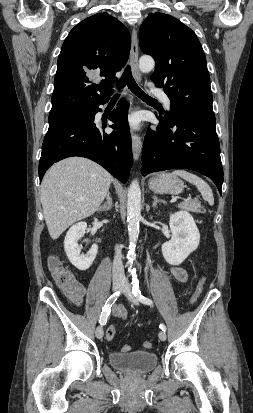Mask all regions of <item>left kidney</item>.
Here are the masks:
<instances>
[{"instance_id": "5707ae66", "label": "left kidney", "mask_w": 253, "mask_h": 413, "mask_svg": "<svg viewBox=\"0 0 253 413\" xmlns=\"http://www.w3.org/2000/svg\"><path fill=\"white\" fill-rule=\"evenodd\" d=\"M171 240L162 245L167 263L180 265L199 245L200 233L191 214L186 211L170 215Z\"/></svg>"}]
</instances>
